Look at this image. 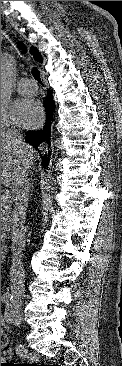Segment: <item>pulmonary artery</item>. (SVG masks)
Wrapping results in <instances>:
<instances>
[{"label": "pulmonary artery", "mask_w": 122, "mask_h": 366, "mask_svg": "<svg viewBox=\"0 0 122 366\" xmlns=\"http://www.w3.org/2000/svg\"><path fill=\"white\" fill-rule=\"evenodd\" d=\"M16 89L22 94H34L37 91V85L34 81L22 78L16 83Z\"/></svg>", "instance_id": "1"}]
</instances>
